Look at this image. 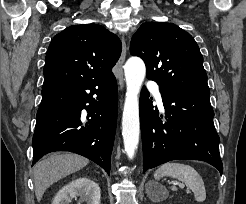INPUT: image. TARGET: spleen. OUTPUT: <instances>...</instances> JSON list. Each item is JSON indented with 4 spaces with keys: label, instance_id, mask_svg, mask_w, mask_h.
<instances>
[{
    "label": "spleen",
    "instance_id": "spleen-1",
    "mask_svg": "<svg viewBox=\"0 0 246 204\" xmlns=\"http://www.w3.org/2000/svg\"><path fill=\"white\" fill-rule=\"evenodd\" d=\"M164 176H170L184 182L193 191L196 201H205L206 190L204 181L199 173L190 165L177 162L164 163L155 171L154 177L156 180H159ZM171 190L177 191V188L172 186Z\"/></svg>",
    "mask_w": 246,
    "mask_h": 204
}]
</instances>
